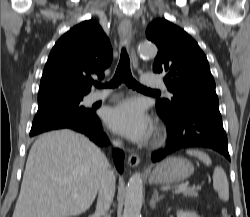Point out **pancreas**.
Masks as SVG:
<instances>
[{"label": "pancreas", "mask_w": 250, "mask_h": 217, "mask_svg": "<svg viewBox=\"0 0 250 217\" xmlns=\"http://www.w3.org/2000/svg\"><path fill=\"white\" fill-rule=\"evenodd\" d=\"M184 196L186 197H198V192L194 189H188L183 191Z\"/></svg>", "instance_id": "cf45deb5"}]
</instances>
